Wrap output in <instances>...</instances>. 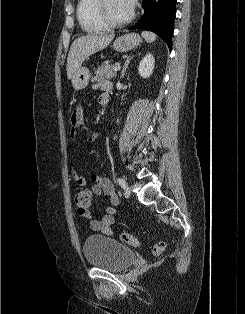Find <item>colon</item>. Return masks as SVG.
<instances>
[{"label":"colon","instance_id":"1","mask_svg":"<svg viewBox=\"0 0 245 314\" xmlns=\"http://www.w3.org/2000/svg\"><path fill=\"white\" fill-rule=\"evenodd\" d=\"M91 203V193L88 190H82L79 191L76 196H75V204L78 208V212L80 214H85L89 211V206ZM119 240L127 243L131 246L137 247L139 245V241L136 237H134L133 235H131L130 233L127 232H122L119 235ZM165 243L160 241L158 243H156L153 246V254L154 255H160L164 248H165Z\"/></svg>","mask_w":245,"mask_h":314}]
</instances>
